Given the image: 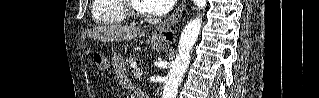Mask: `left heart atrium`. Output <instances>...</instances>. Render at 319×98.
Returning <instances> with one entry per match:
<instances>
[{
    "label": "left heart atrium",
    "instance_id": "39dd6f15",
    "mask_svg": "<svg viewBox=\"0 0 319 98\" xmlns=\"http://www.w3.org/2000/svg\"><path fill=\"white\" fill-rule=\"evenodd\" d=\"M175 1L174 0H142V7L154 14V15H163L171 10Z\"/></svg>",
    "mask_w": 319,
    "mask_h": 98
}]
</instances>
